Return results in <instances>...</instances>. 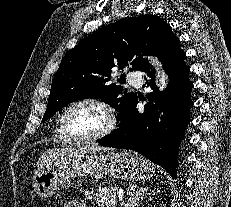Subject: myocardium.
Listing matches in <instances>:
<instances>
[{
  "label": "myocardium",
  "mask_w": 231,
  "mask_h": 207,
  "mask_svg": "<svg viewBox=\"0 0 231 207\" xmlns=\"http://www.w3.org/2000/svg\"><path fill=\"white\" fill-rule=\"evenodd\" d=\"M84 103L92 104L100 108L106 116V125L102 130H100L99 132L93 135L86 136V137H77L71 133L68 127L67 116L75 106ZM60 124H61L62 132L68 140L76 143H89V142L98 141L111 134L116 128L117 116L114 108L105 100H102L94 96H88V97H82L76 99L73 102H71L62 112L60 117Z\"/></svg>",
  "instance_id": "1"
}]
</instances>
